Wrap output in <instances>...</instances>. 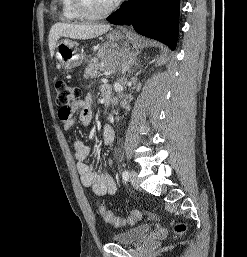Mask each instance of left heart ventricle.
Listing matches in <instances>:
<instances>
[{"label": "left heart ventricle", "instance_id": "b2bd125f", "mask_svg": "<svg viewBox=\"0 0 247 257\" xmlns=\"http://www.w3.org/2000/svg\"><path fill=\"white\" fill-rule=\"evenodd\" d=\"M114 1L115 0H86L88 7L95 12L104 10Z\"/></svg>", "mask_w": 247, "mask_h": 257}]
</instances>
